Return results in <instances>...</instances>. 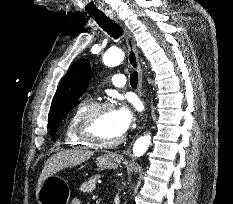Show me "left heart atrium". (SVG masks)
Wrapping results in <instances>:
<instances>
[{
	"mask_svg": "<svg viewBox=\"0 0 233 204\" xmlns=\"http://www.w3.org/2000/svg\"><path fill=\"white\" fill-rule=\"evenodd\" d=\"M115 125L121 134H124L133 122V113L125 106L113 110Z\"/></svg>",
	"mask_w": 233,
	"mask_h": 204,
	"instance_id": "left-heart-atrium-1",
	"label": "left heart atrium"
}]
</instances>
